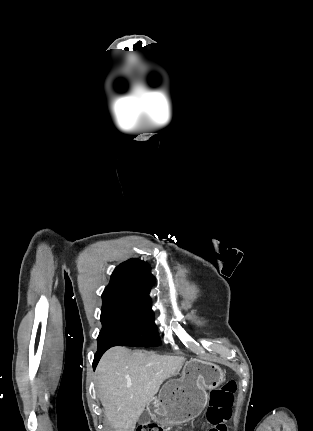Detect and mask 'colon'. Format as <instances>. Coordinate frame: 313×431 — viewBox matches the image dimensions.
Listing matches in <instances>:
<instances>
[{
    "mask_svg": "<svg viewBox=\"0 0 313 431\" xmlns=\"http://www.w3.org/2000/svg\"><path fill=\"white\" fill-rule=\"evenodd\" d=\"M236 388L234 381H228L221 388L211 391L206 413L207 421L211 425L209 431H229L227 422L231 418V406ZM136 431H164V429L158 424L150 423L139 426Z\"/></svg>",
    "mask_w": 313,
    "mask_h": 431,
    "instance_id": "obj_1",
    "label": "colon"
}]
</instances>
